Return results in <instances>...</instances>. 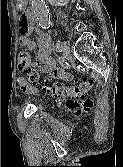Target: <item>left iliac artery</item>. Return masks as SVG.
Wrapping results in <instances>:
<instances>
[{
	"label": "left iliac artery",
	"instance_id": "left-iliac-artery-1",
	"mask_svg": "<svg viewBox=\"0 0 123 167\" xmlns=\"http://www.w3.org/2000/svg\"><path fill=\"white\" fill-rule=\"evenodd\" d=\"M55 50L56 51H61V45H60V43H56V45H55Z\"/></svg>",
	"mask_w": 123,
	"mask_h": 167
}]
</instances>
